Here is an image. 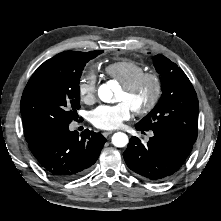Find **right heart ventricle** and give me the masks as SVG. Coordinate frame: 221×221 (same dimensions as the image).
Instances as JSON below:
<instances>
[{"label": "right heart ventricle", "mask_w": 221, "mask_h": 221, "mask_svg": "<svg viewBox=\"0 0 221 221\" xmlns=\"http://www.w3.org/2000/svg\"><path fill=\"white\" fill-rule=\"evenodd\" d=\"M104 70L111 79L123 85L144 73L145 67L133 60L122 59L110 63Z\"/></svg>", "instance_id": "obj_1"}]
</instances>
